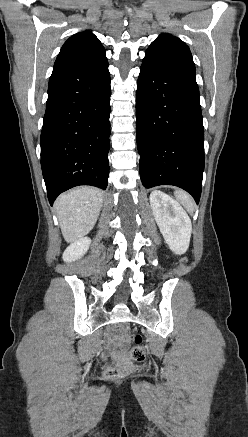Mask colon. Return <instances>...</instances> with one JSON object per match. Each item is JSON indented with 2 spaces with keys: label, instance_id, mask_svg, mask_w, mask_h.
<instances>
[{
  "label": "colon",
  "instance_id": "5ec220e1",
  "mask_svg": "<svg viewBox=\"0 0 248 437\" xmlns=\"http://www.w3.org/2000/svg\"><path fill=\"white\" fill-rule=\"evenodd\" d=\"M134 346L130 350V358L134 362H142L145 359L146 351L142 345V337L135 335L133 337ZM132 371L131 368H122L115 362H109L104 370V376L108 380L117 381Z\"/></svg>",
  "mask_w": 248,
  "mask_h": 437
}]
</instances>
